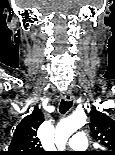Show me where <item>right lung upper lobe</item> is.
<instances>
[{"mask_svg": "<svg viewBox=\"0 0 115 155\" xmlns=\"http://www.w3.org/2000/svg\"><path fill=\"white\" fill-rule=\"evenodd\" d=\"M43 122V113L35 107L16 127L6 155H46L37 137L38 128Z\"/></svg>", "mask_w": 115, "mask_h": 155, "instance_id": "obj_1", "label": "right lung upper lobe"}]
</instances>
